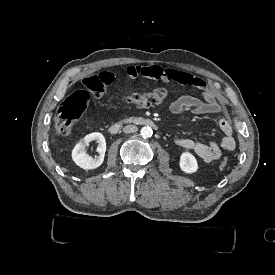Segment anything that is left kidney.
Masks as SVG:
<instances>
[{"mask_svg": "<svg viewBox=\"0 0 275 275\" xmlns=\"http://www.w3.org/2000/svg\"><path fill=\"white\" fill-rule=\"evenodd\" d=\"M179 168L184 174L196 173L199 169L197 158L189 152H182L179 159Z\"/></svg>", "mask_w": 275, "mask_h": 275, "instance_id": "5707ae66", "label": "left kidney"}]
</instances>
